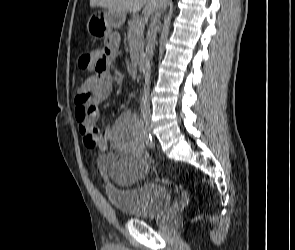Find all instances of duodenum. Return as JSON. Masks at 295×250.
<instances>
[{
	"instance_id": "obj_1",
	"label": "duodenum",
	"mask_w": 295,
	"mask_h": 250,
	"mask_svg": "<svg viewBox=\"0 0 295 250\" xmlns=\"http://www.w3.org/2000/svg\"><path fill=\"white\" fill-rule=\"evenodd\" d=\"M137 67L139 72L141 73L146 71L147 63H146V57L143 53H139L137 55Z\"/></svg>"
}]
</instances>
